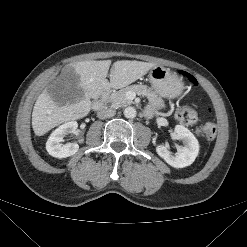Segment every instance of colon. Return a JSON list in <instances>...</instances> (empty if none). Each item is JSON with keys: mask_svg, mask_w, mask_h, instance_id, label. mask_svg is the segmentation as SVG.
<instances>
[{"mask_svg": "<svg viewBox=\"0 0 247 247\" xmlns=\"http://www.w3.org/2000/svg\"><path fill=\"white\" fill-rule=\"evenodd\" d=\"M189 81L196 84V81L192 77H188ZM176 118L184 124H194L198 120V113L195 109L191 107H184L178 110L176 113ZM199 133L207 140H212L215 138L217 129L215 124L206 123L200 129Z\"/></svg>", "mask_w": 247, "mask_h": 247, "instance_id": "colon-1", "label": "colon"}]
</instances>
